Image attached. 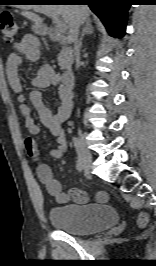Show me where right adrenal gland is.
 I'll use <instances>...</instances> for the list:
<instances>
[{
    "mask_svg": "<svg viewBox=\"0 0 156 266\" xmlns=\"http://www.w3.org/2000/svg\"><path fill=\"white\" fill-rule=\"evenodd\" d=\"M94 32V27L92 25V21L91 20H87L84 27H83V30H82V34H81V37H80V46H82V41H83V37L84 35L86 34H91Z\"/></svg>",
    "mask_w": 156,
    "mask_h": 266,
    "instance_id": "1",
    "label": "right adrenal gland"
}]
</instances>
